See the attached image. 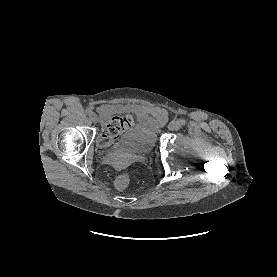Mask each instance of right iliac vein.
<instances>
[{"mask_svg":"<svg viewBox=\"0 0 277 277\" xmlns=\"http://www.w3.org/2000/svg\"><path fill=\"white\" fill-rule=\"evenodd\" d=\"M90 119H91V121H92L93 123H97V121H98V117H97V115H96L95 113H92V114L90 115Z\"/></svg>","mask_w":277,"mask_h":277,"instance_id":"1","label":"right iliac vein"}]
</instances>
